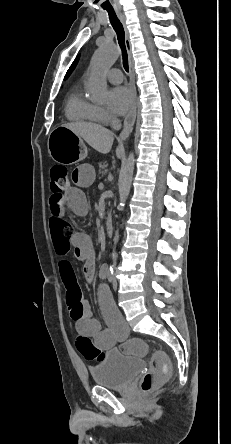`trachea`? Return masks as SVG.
<instances>
[{
  "mask_svg": "<svg viewBox=\"0 0 231 444\" xmlns=\"http://www.w3.org/2000/svg\"><path fill=\"white\" fill-rule=\"evenodd\" d=\"M107 12L109 15L111 25L113 26V28L117 34L118 43H119L120 48L122 50L123 67L128 72V69H129L128 55H127V50H126V45H125V31H124L123 25L120 22V20L117 18L114 10H107Z\"/></svg>",
  "mask_w": 231,
  "mask_h": 444,
  "instance_id": "3493384b",
  "label": "trachea"
}]
</instances>
